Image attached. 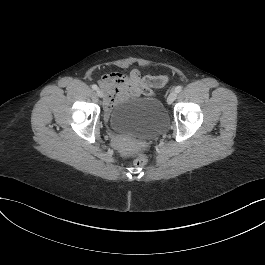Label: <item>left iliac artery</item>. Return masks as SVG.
Returning a JSON list of instances; mask_svg holds the SVG:
<instances>
[{"label": "left iliac artery", "mask_w": 265, "mask_h": 265, "mask_svg": "<svg viewBox=\"0 0 265 265\" xmlns=\"http://www.w3.org/2000/svg\"><path fill=\"white\" fill-rule=\"evenodd\" d=\"M181 90H182V86H181V85H178V86L175 88V91H176L177 93H179Z\"/></svg>", "instance_id": "left-iliac-artery-1"}]
</instances>
